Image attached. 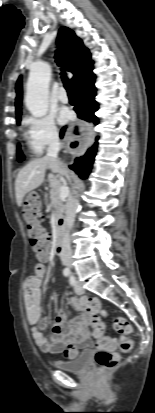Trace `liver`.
I'll use <instances>...</instances> for the list:
<instances>
[{"mask_svg": "<svg viewBox=\"0 0 155 413\" xmlns=\"http://www.w3.org/2000/svg\"><path fill=\"white\" fill-rule=\"evenodd\" d=\"M47 169H50L53 173L61 174L57 167L51 166L46 157L30 161L19 171L15 181V195L18 206L22 205L23 198L28 192L38 188L43 183Z\"/></svg>", "mask_w": 155, "mask_h": 413, "instance_id": "1", "label": "liver"}]
</instances>
